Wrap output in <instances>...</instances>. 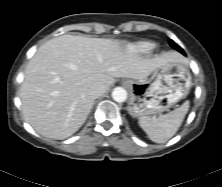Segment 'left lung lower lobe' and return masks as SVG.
Segmentation results:
<instances>
[{"label": "left lung lower lobe", "mask_w": 222, "mask_h": 187, "mask_svg": "<svg viewBox=\"0 0 222 187\" xmlns=\"http://www.w3.org/2000/svg\"><path fill=\"white\" fill-rule=\"evenodd\" d=\"M182 54H184V55H185L184 51H182Z\"/></svg>", "instance_id": "left-lung-lower-lobe-1"}]
</instances>
